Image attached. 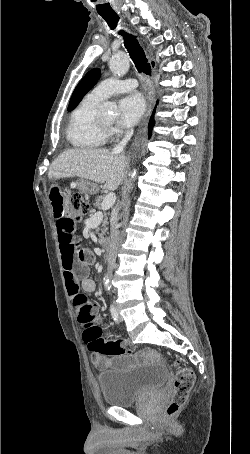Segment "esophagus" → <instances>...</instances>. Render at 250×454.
I'll return each mask as SVG.
<instances>
[{"label": "esophagus", "instance_id": "34e87169", "mask_svg": "<svg viewBox=\"0 0 250 454\" xmlns=\"http://www.w3.org/2000/svg\"><path fill=\"white\" fill-rule=\"evenodd\" d=\"M150 64H151L152 68L154 69V64L151 61H150ZM153 107H154V104H153L152 100L148 98V100H147V112H146V115H145L146 118L151 114V112L153 110Z\"/></svg>", "mask_w": 250, "mask_h": 454}]
</instances>
